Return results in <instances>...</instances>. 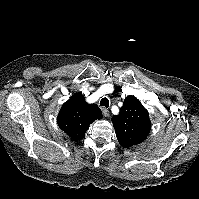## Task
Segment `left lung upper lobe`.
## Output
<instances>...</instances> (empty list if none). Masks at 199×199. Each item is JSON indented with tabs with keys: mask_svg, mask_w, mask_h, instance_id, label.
<instances>
[{
	"mask_svg": "<svg viewBox=\"0 0 199 199\" xmlns=\"http://www.w3.org/2000/svg\"><path fill=\"white\" fill-rule=\"evenodd\" d=\"M112 122L117 139L125 148L142 143L151 130L148 111L132 95L125 98L119 114L112 117Z\"/></svg>",
	"mask_w": 199,
	"mask_h": 199,
	"instance_id": "left-lung-upper-lobe-1",
	"label": "left lung upper lobe"
}]
</instances>
